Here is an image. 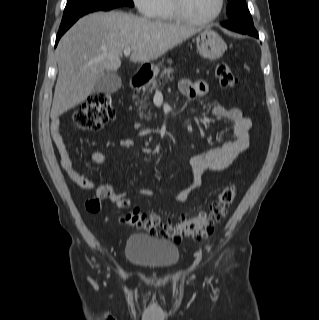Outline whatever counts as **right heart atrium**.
<instances>
[{
  "label": "right heart atrium",
  "mask_w": 319,
  "mask_h": 320,
  "mask_svg": "<svg viewBox=\"0 0 319 320\" xmlns=\"http://www.w3.org/2000/svg\"><path fill=\"white\" fill-rule=\"evenodd\" d=\"M139 13L143 16L158 17L163 0H132Z\"/></svg>",
  "instance_id": "right-heart-atrium-1"
}]
</instances>
